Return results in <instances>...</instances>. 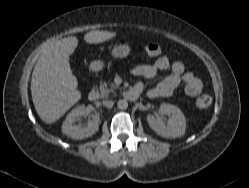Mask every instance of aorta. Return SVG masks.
Returning <instances> with one entry per match:
<instances>
[{
	"label": "aorta",
	"mask_w": 249,
	"mask_h": 188,
	"mask_svg": "<svg viewBox=\"0 0 249 188\" xmlns=\"http://www.w3.org/2000/svg\"><path fill=\"white\" fill-rule=\"evenodd\" d=\"M117 107L121 110H125L128 108V102L125 99H121L117 102Z\"/></svg>",
	"instance_id": "1"
}]
</instances>
